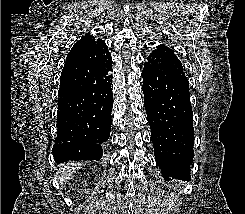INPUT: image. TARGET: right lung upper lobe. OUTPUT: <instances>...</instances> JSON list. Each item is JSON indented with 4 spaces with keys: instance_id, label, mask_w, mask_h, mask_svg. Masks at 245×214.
Returning <instances> with one entry per match:
<instances>
[{
    "instance_id": "1",
    "label": "right lung upper lobe",
    "mask_w": 245,
    "mask_h": 214,
    "mask_svg": "<svg viewBox=\"0 0 245 214\" xmlns=\"http://www.w3.org/2000/svg\"><path fill=\"white\" fill-rule=\"evenodd\" d=\"M111 57L107 45L101 39L87 34L83 36L67 55V59H75L79 85L85 87L92 83L98 70ZM66 59V60H67Z\"/></svg>"
}]
</instances>
